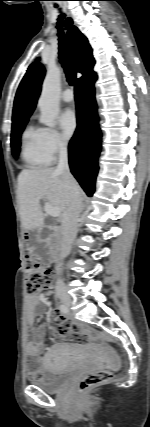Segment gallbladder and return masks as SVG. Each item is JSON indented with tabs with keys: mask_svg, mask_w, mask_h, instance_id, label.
I'll list each match as a JSON object with an SVG mask.
<instances>
[{
	"mask_svg": "<svg viewBox=\"0 0 150 427\" xmlns=\"http://www.w3.org/2000/svg\"><path fill=\"white\" fill-rule=\"evenodd\" d=\"M33 253L41 258L43 263H48L50 261V253L47 246L44 243H34L33 244Z\"/></svg>",
	"mask_w": 150,
	"mask_h": 427,
	"instance_id": "1",
	"label": "gallbladder"
}]
</instances>
